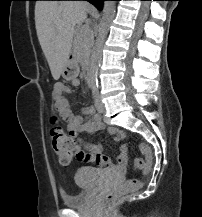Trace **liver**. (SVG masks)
I'll return each mask as SVG.
<instances>
[{"instance_id":"1","label":"liver","mask_w":202,"mask_h":217,"mask_svg":"<svg viewBox=\"0 0 202 217\" xmlns=\"http://www.w3.org/2000/svg\"><path fill=\"white\" fill-rule=\"evenodd\" d=\"M91 6L82 1H38L35 26L52 76L58 80L71 53L74 28L87 19Z\"/></svg>"}]
</instances>
